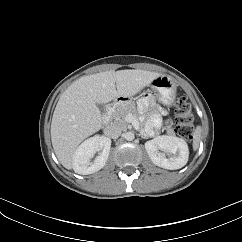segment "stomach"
<instances>
[{
    "mask_svg": "<svg viewBox=\"0 0 242 242\" xmlns=\"http://www.w3.org/2000/svg\"><path fill=\"white\" fill-rule=\"evenodd\" d=\"M151 88L158 93L159 101L165 105L173 103L177 89V83L169 76L162 75L154 79ZM120 105L127 104L125 100L119 101Z\"/></svg>",
    "mask_w": 242,
    "mask_h": 242,
    "instance_id": "stomach-1",
    "label": "stomach"
}]
</instances>
